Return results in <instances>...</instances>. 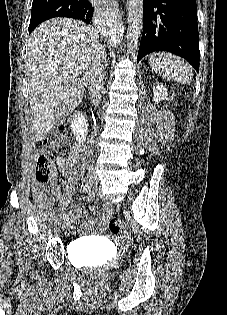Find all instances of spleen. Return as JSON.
<instances>
[{
    "label": "spleen",
    "instance_id": "1",
    "mask_svg": "<svg viewBox=\"0 0 227 315\" xmlns=\"http://www.w3.org/2000/svg\"><path fill=\"white\" fill-rule=\"evenodd\" d=\"M152 69L168 79H174L184 84H190L192 80L191 66L171 54H157L150 58Z\"/></svg>",
    "mask_w": 227,
    "mask_h": 315
}]
</instances>
